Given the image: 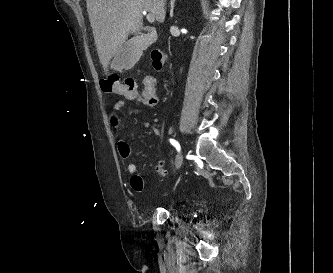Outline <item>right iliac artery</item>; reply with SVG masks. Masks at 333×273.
Wrapping results in <instances>:
<instances>
[{"instance_id":"1","label":"right iliac artery","mask_w":333,"mask_h":273,"mask_svg":"<svg viewBox=\"0 0 333 273\" xmlns=\"http://www.w3.org/2000/svg\"><path fill=\"white\" fill-rule=\"evenodd\" d=\"M170 143L177 149V151H180V144L174 140V139H169Z\"/></svg>"}]
</instances>
